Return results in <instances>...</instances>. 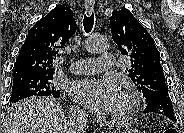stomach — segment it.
Listing matches in <instances>:
<instances>
[{
	"label": "stomach",
	"instance_id": "obj_1",
	"mask_svg": "<svg viewBox=\"0 0 184 133\" xmlns=\"http://www.w3.org/2000/svg\"><path fill=\"white\" fill-rule=\"evenodd\" d=\"M133 133H138L137 131H133Z\"/></svg>",
	"mask_w": 184,
	"mask_h": 133
}]
</instances>
